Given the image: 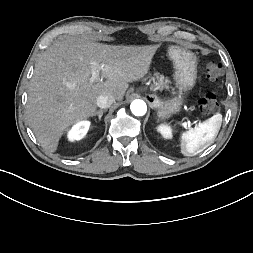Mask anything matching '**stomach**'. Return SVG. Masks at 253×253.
<instances>
[{
  "mask_svg": "<svg viewBox=\"0 0 253 253\" xmlns=\"http://www.w3.org/2000/svg\"><path fill=\"white\" fill-rule=\"evenodd\" d=\"M168 55L174 65V80L180 95L168 100L150 95L152 105L158 110V116L168 118L179 112L182 105V94L191 90L197 79V58L194 53L178 46H171Z\"/></svg>",
  "mask_w": 253,
  "mask_h": 253,
  "instance_id": "0dacf381",
  "label": "stomach"
}]
</instances>
